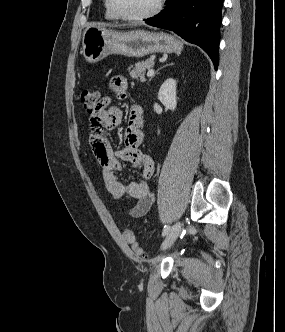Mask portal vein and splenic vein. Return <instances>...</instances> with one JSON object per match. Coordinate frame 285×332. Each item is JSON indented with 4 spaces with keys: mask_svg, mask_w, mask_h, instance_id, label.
<instances>
[{
    "mask_svg": "<svg viewBox=\"0 0 285 332\" xmlns=\"http://www.w3.org/2000/svg\"><path fill=\"white\" fill-rule=\"evenodd\" d=\"M154 75V70L153 69H150L148 72H147V77H151Z\"/></svg>",
    "mask_w": 285,
    "mask_h": 332,
    "instance_id": "obj_1",
    "label": "portal vein and splenic vein"
}]
</instances>
